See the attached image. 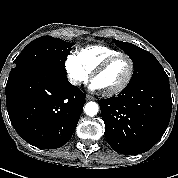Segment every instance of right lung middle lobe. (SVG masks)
<instances>
[{
	"instance_id": "obj_1",
	"label": "right lung middle lobe",
	"mask_w": 178,
	"mask_h": 178,
	"mask_svg": "<svg viewBox=\"0 0 178 178\" xmlns=\"http://www.w3.org/2000/svg\"><path fill=\"white\" fill-rule=\"evenodd\" d=\"M73 43L59 38L43 36L30 42L14 60L12 71L18 69H38L55 67L62 74L65 70L67 54L72 50Z\"/></svg>"
}]
</instances>
